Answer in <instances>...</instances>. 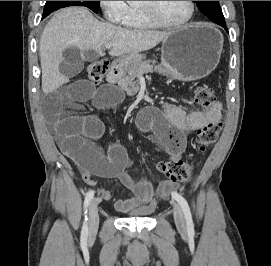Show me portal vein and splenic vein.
<instances>
[{"instance_id": "portal-vein-and-splenic-vein-1", "label": "portal vein and splenic vein", "mask_w": 271, "mask_h": 266, "mask_svg": "<svg viewBox=\"0 0 271 266\" xmlns=\"http://www.w3.org/2000/svg\"><path fill=\"white\" fill-rule=\"evenodd\" d=\"M105 47H106L107 49H110V48L112 47V44H107Z\"/></svg>"}]
</instances>
